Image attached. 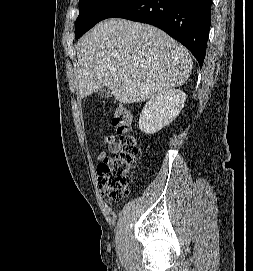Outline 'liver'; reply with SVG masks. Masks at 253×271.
Listing matches in <instances>:
<instances>
[{
  "instance_id": "1",
  "label": "liver",
  "mask_w": 253,
  "mask_h": 271,
  "mask_svg": "<svg viewBox=\"0 0 253 271\" xmlns=\"http://www.w3.org/2000/svg\"><path fill=\"white\" fill-rule=\"evenodd\" d=\"M77 59L80 98L106 86L125 104L182 86L192 71L185 47L156 27L125 19L98 23L79 41Z\"/></svg>"
}]
</instances>
